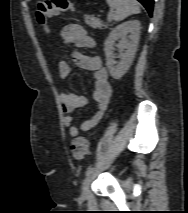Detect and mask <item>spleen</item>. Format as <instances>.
I'll use <instances>...</instances> for the list:
<instances>
[{
    "label": "spleen",
    "instance_id": "1",
    "mask_svg": "<svg viewBox=\"0 0 188 213\" xmlns=\"http://www.w3.org/2000/svg\"><path fill=\"white\" fill-rule=\"evenodd\" d=\"M110 7L115 9L113 19L121 21L132 14L140 13V7L136 0H106Z\"/></svg>",
    "mask_w": 188,
    "mask_h": 213
}]
</instances>
